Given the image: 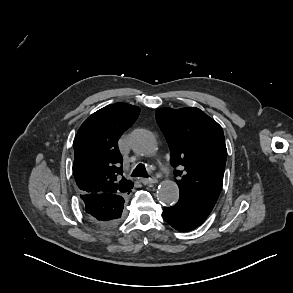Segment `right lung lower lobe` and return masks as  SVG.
<instances>
[{"label": "right lung lower lobe", "mask_w": 293, "mask_h": 293, "mask_svg": "<svg viewBox=\"0 0 293 293\" xmlns=\"http://www.w3.org/2000/svg\"><path fill=\"white\" fill-rule=\"evenodd\" d=\"M87 217L95 224L113 226L122 216L124 194H84L81 195Z\"/></svg>", "instance_id": "1"}]
</instances>
